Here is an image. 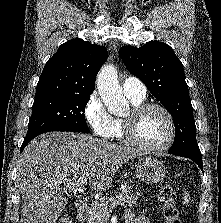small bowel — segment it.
Wrapping results in <instances>:
<instances>
[{
	"label": "small bowel",
	"mask_w": 221,
	"mask_h": 223,
	"mask_svg": "<svg viewBox=\"0 0 221 223\" xmlns=\"http://www.w3.org/2000/svg\"><path fill=\"white\" fill-rule=\"evenodd\" d=\"M125 223H150V221L143 215H136L133 212H127L125 214Z\"/></svg>",
	"instance_id": "c3829d8e"
}]
</instances>
